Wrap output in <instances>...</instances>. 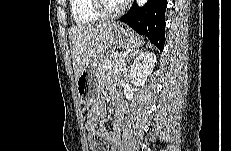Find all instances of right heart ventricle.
Returning a JSON list of instances; mask_svg holds the SVG:
<instances>
[{
	"instance_id": "obj_1",
	"label": "right heart ventricle",
	"mask_w": 231,
	"mask_h": 151,
	"mask_svg": "<svg viewBox=\"0 0 231 151\" xmlns=\"http://www.w3.org/2000/svg\"><path fill=\"white\" fill-rule=\"evenodd\" d=\"M71 13L79 25H88L101 20L93 10V0H72Z\"/></svg>"
}]
</instances>
